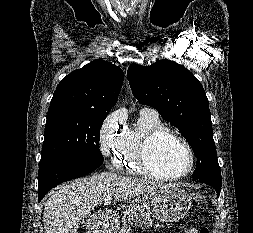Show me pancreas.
Segmentation results:
<instances>
[{
	"mask_svg": "<svg viewBox=\"0 0 253 233\" xmlns=\"http://www.w3.org/2000/svg\"><path fill=\"white\" fill-rule=\"evenodd\" d=\"M133 222H138L143 228L150 229L152 227V220L150 214L146 213L144 208L139 204L133 203L126 208L122 217V229L119 233H124V231Z\"/></svg>",
	"mask_w": 253,
	"mask_h": 233,
	"instance_id": "1",
	"label": "pancreas"
}]
</instances>
